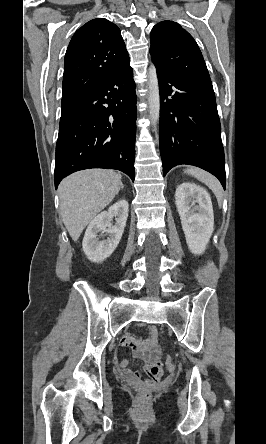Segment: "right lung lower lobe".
Masks as SVG:
<instances>
[{"label": "right lung lower lobe", "instance_id": "98d812e1", "mask_svg": "<svg viewBox=\"0 0 266 444\" xmlns=\"http://www.w3.org/2000/svg\"><path fill=\"white\" fill-rule=\"evenodd\" d=\"M130 60L62 109L54 182L89 168L117 169L134 181L136 93Z\"/></svg>", "mask_w": 266, "mask_h": 444}]
</instances>
